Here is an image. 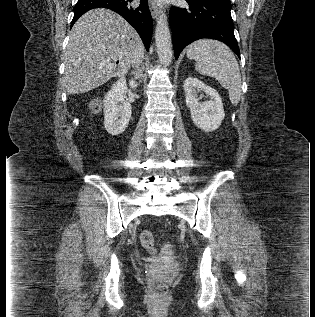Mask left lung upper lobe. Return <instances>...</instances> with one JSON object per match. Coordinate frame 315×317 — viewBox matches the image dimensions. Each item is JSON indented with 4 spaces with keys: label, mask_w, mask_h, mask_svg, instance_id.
Listing matches in <instances>:
<instances>
[{
    "label": "left lung upper lobe",
    "mask_w": 315,
    "mask_h": 317,
    "mask_svg": "<svg viewBox=\"0 0 315 317\" xmlns=\"http://www.w3.org/2000/svg\"><path fill=\"white\" fill-rule=\"evenodd\" d=\"M218 1H222V2H228V3H230V0H218Z\"/></svg>",
    "instance_id": "1"
}]
</instances>
